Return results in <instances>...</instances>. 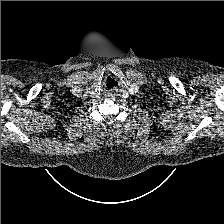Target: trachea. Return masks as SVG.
I'll return each instance as SVG.
<instances>
[{
  "label": "trachea",
  "instance_id": "obj_1",
  "mask_svg": "<svg viewBox=\"0 0 224 224\" xmlns=\"http://www.w3.org/2000/svg\"><path fill=\"white\" fill-rule=\"evenodd\" d=\"M118 86V82L116 80H114L111 77H107L106 81H105V87L108 90L114 89Z\"/></svg>",
  "mask_w": 224,
  "mask_h": 224
}]
</instances>
